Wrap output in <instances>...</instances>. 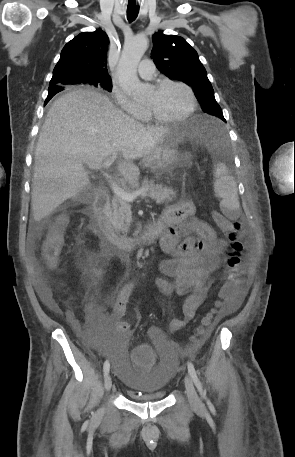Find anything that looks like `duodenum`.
<instances>
[{"label":"duodenum","mask_w":295,"mask_h":457,"mask_svg":"<svg viewBox=\"0 0 295 457\" xmlns=\"http://www.w3.org/2000/svg\"><path fill=\"white\" fill-rule=\"evenodd\" d=\"M109 194L105 190L96 192L93 204L84 209L106 251L111 254L130 253L153 243L162 233L164 226L158 219L148 224L139 238L120 236L113 231L108 219Z\"/></svg>","instance_id":"duodenum-1"}]
</instances>
